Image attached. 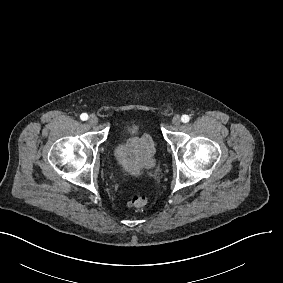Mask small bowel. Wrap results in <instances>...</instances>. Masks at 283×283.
<instances>
[{
	"mask_svg": "<svg viewBox=\"0 0 283 283\" xmlns=\"http://www.w3.org/2000/svg\"><path fill=\"white\" fill-rule=\"evenodd\" d=\"M135 144H136V141H135V140L131 141V142H130V147L135 146ZM120 160H121V163H122V165H123L124 167H127V166H128L127 162L125 161V158H124L122 155H120Z\"/></svg>",
	"mask_w": 283,
	"mask_h": 283,
	"instance_id": "c3829d8e",
	"label": "small bowel"
}]
</instances>
